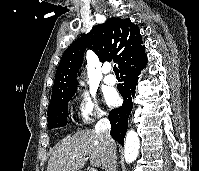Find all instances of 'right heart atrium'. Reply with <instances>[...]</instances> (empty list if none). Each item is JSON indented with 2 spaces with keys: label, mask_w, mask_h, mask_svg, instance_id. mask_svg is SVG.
Listing matches in <instances>:
<instances>
[{
  "label": "right heart atrium",
  "mask_w": 199,
  "mask_h": 171,
  "mask_svg": "<svg viewBox=\"0 0 199 171\" xmlns=\"http://www.w3.org/2000/svg\"><path fill=\"white\" fill-rule=\"evenodd\" d=\"M77 111L78 116L84 125H89L95 119H101L103 117L96 97L88 91H84L78 96Z\"/></svg>",
  "instance_id": "1"
}]
</instances>
